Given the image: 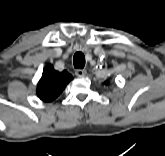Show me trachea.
Segmentation results:
<instances>
[{"instance_id":"obj_1","label":"trachea","mask_w":165,"mask_h":156,"mask_svg":"<svg viewBox=\"0 0 165 156\" xmlns=\"http://www.w3.org/2000/svg\"><path fill=\"white\" fill-rule=\"evenodd\" d=\"M74 67L78 69H82L85 66V56L81 52H77L73 56Z\"/></svg>"}]
</instances>
